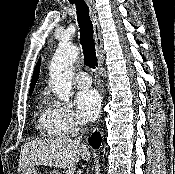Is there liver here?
<instances>
[{
    "label": "liver",
    "mask_w": 175,
    "mask_h": 174,
    "mask_svg": "<svg viewBox=\"0 0 175 174\" xmlns=\"http://www.w3.org/2000/svg\"><path fill=\"white\" fill-rule=\"evenodd\" d=\"M80 156L88 161L91 153L85 145L69 138L34 140L25 143L20 152L18 171H24L35 165H44L62 169L73 168Z\"/></svg>",
    "instance_id": "liver-1"
}]
</instances>
